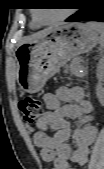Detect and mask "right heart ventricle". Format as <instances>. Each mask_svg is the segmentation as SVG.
<instances>
[{
    "label": "right heart ventricle",
    "instance_id": "obj_1",
    "mask_svg": "<svg viewBox=\"0 0 104 169\" xmlns=\"http://www.w3.org/2000/svg\"><path fill=\"white\" fill-rule=\"evenodd\" d=\"M38 25H39V24L36 23L35 20H33L32 23H31V26H32L33 28L38 27Z\"/></svg>",
    "mask_w": 104,
    "mask_h": 169
}]
</instances>
